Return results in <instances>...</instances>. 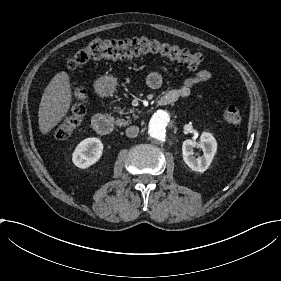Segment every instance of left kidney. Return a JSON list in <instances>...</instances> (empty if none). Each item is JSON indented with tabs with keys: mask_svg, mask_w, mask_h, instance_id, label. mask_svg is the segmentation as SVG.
<instances>
[{
	"mask_svg": "<svg viewBox=\"0 0 281 281\" xmlns=\"http://www.w3.org/2000/svg\"><path fill=\"white\" fill-rule=\"evenodd\" d=\"M195 147H199L203 151V155L196 158L193 156ZM217 151V142L213 135L208 132H203L200 141L185 140L182 145V154L184 162L193 171L205 172L210 166Z\"/></svg>",
	"mask_w": 281,
	"mask_h": 281,
	"instance_id": "5707ae66",
	"label": "left kidney"
}]
</instances>
